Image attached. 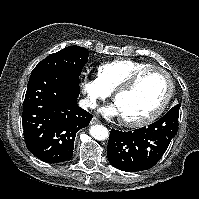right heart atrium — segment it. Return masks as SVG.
Segmentation results:
<instances>
[{
	"mask_svg": "<svg viewBox=\"0 0 199 199\" xmlns=\"http://www.w3.org/2000/svg\"><path fill=\"white\" fill-rule=\"evenodd\" d=\"M81 90L85 96L86 106L92 109L97 106L99 100H103L110 95L98 78L84 80L81 83Z\"/></svg>",
	"mask_w": 199,
	"mask_h": 199,
	"instance_id": "right-heart-atrium-1",
	"label": "right heart atrium"
}]
</instances>
